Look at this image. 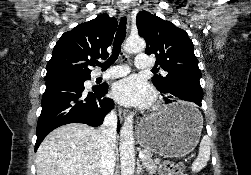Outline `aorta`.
<instances>
[{"label":"aorta","mask_w":251,"mask_h":175,"mask_svg":"<svg viewBox=\"0 0 251 175\" xmlns=\"http://www.w3.org/2000/svg\"><path fill=\"white\" fill-rule=\"evenodd\" d=\"M146 48L145 40L142 38H128L124 50L129 54L134 52H144ZM133 115H127L120 129V161L121 175H133L135 169V145L133 133Z\"/></svg>","instance_id":"obj_1"}]
</instances>
